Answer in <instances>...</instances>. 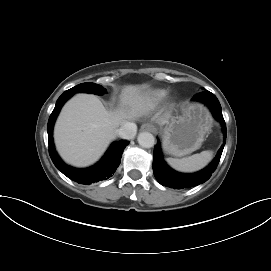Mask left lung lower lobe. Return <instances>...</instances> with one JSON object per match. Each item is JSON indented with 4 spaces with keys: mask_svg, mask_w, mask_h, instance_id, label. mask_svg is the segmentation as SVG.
I'll return each instance as SVG.
<instances>
[{
    "mask_svg": "<svg viewBox=\"0 0 271 271\" xmlns=\"http://www.w3.org/2000/svg\"><path fill=\"white\" fill-rule=\"evenodd\" d=\"M193 100L201 101L212 111L214 117L221 123L224 133V143L219 149L214 160L203 170L194 174H182L172 170L163 160L160 143L154 147L153 171L157 181L174 189L189 188L207 181L217 168L223 148L226 142V124L222 115L221 105L214 94L209 91L201 92L193 97Z\"/></svg>",
    "mask_w": 271,
    "mask_h": 271,
    "instance_id": "1",
    "label": "left lung lower lobe"
}]
</instances>
